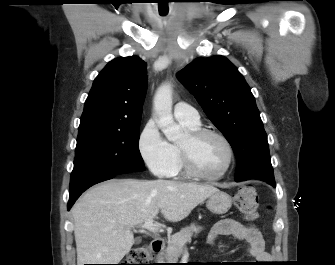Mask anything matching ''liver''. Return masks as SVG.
<instances>
[{"instance_id": "obj_1", "label": "liver", "mask_w": 335, "mask_h": 265, "mask_svg": "<svg viewBox=\"0 0 335 265\" xmlns=\"http://www.w3.org/2000/svg\"><path fill=\"white\" fill-rule=\"evenodd\" d=\"M217 191L161 179H112L91 188L71 210L77 265L118 264L134 244L133 227L156 218L159 210L168 221H181Z\"/></svg>"}]
</instances>
